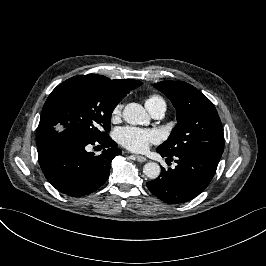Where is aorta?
Here are the masks:
<instances>
[{
	"label": "aorta",
	"instance_id": "aorta-1",
	"mask_svg": "<svg viewBox=\"0 0 266 266\" xmlns=\"http://www.w3.org/2000/svg\"><path fill=\"white\" fill-rule=\"evenodd\" d=\"M123 120L131 125L147 123L148 116L144 108L138 103L127 104L122 111ZM143 173L151 180L159 177L161 173L160 166L155 162H148L143 167Z\"/></svg>",
	"mask_w": 266,
	"mask_h": 266
}]
</instances>
